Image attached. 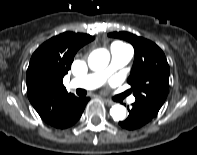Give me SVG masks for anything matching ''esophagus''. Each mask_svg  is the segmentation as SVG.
<instances>
[{
	"instance_id": "1",
	"label": "esophagus",
	"mask_w": 197,
	"mask_h": 155,
	"mask_svg": "<svg viewBox=\"0 0 197 155\" xmlns=\"http://www.w3.org/2000/svg\"><path fill=\"white\" fill-rule=\"evenodd\" d=\"M103 102L108 105V106H111L114 104V102L110 101V100H107V99H103Z\"/></svg>"
}]
</instances>
